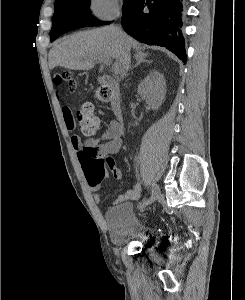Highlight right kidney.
Instances as JSON below:
<instances>
[{"label": "right kidney", "instance_id": "right-kidney-1", "mask_svg": "<svg viewBox=\"0 0 245 300\" xmlns=\"http://www.w3.org/2000/svg\"><path fill=\"white\" fill-rule=\"evenodd\" d=\"M166 82L163 74L151 72L138 86V93L154 110L158 109L165 97Z\"/></svg>", "mask_w": 245, "mask_h": 300}]
</instances>
